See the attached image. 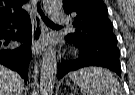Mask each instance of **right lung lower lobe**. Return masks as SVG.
Returning a JSON list of instances; mask_svg holds the SVG:
<instances>
[{
    "label": "right lung lower lobe",
    "mask_w": 135,
    "mask_h": 95,
    "mask_svg": "<svg viewBox=\"0 0 135 95\" xmlns=\"http://www.w3.org/2000/svg\"><path fill=\"white\" fill-rule=\"evenodd\" d=\"M14 29H17L15 34ZM11 40L21 43L14 47ZM32 27L29 16L17 24L0 26V64L17 71L27 82V66L31 55Z\"/></svg>",
    "instance_id": "98d812e1"
}]
</instances>
